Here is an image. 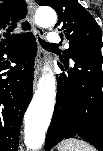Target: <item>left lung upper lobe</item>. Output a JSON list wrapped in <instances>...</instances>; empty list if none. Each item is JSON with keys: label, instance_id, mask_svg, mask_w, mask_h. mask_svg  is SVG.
<instances>
[{"label": "left lung upper lobe", "instance_id": "5c2ea615", "mask_svg": "<svg viewBox=\"0 0 103 151\" xmlns=\"http://www.w3.org/2000/svg\"><path fill=\"white\" fill-rule=\"evenodd\" d=\"M39 5H48L58 13V22L64 36L69 40V49L61 60H69L76 49L102 48V31L93 16L77 0H36ZM63 36V34H60Z\"/></svg>", "mask_w": 103, "mask_h": 151}]
</instances>
